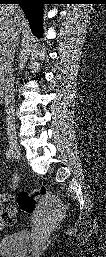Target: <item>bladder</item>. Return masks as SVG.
<instances>
[{
  "label": "bladder",
  "mask_w": 106,
  "mask_h": 257,
  "mask_svg": "<svg viewBox=\"0 0 106 257\" xmlns=\"http://www.w3.org/2000/svg\"><path fill=\"white\" fill-rule=\"evenodd\" d=\"M30 242L29 233L19 231L1 237L0 253L4 257H22L27 252Z\"/></svg>",
  "instance_id": "31cf9c89"
}]
</instances>
